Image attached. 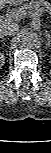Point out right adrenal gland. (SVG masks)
<instances>
[{"label":"right adrenal gland","instance_id":"obj_1","mask_svg":"<svg viewBox=\"0 0 51 153\" xmlns=\"http://www.w3.org/2000/svg\"><path fill=\"white\" fill-rule=\"evenodd\" d=\"M6 40V38H4L3 36H1L0 37V41L2 42V41H5Z\"/></svg>","mask_w":51,"mask_h":153}]
</instances>
